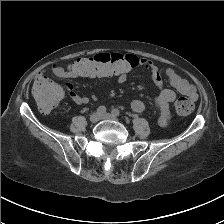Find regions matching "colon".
Here are the masks:
<instances>
[{
	"label": "colon",
	"instance_id": "1",
	"mask_svg": "<svg viewBox=\"0 0 224 224\" xmlns=\"http://www.w3.org/2000/svg\"><path fill=\"white\" fill-rule=\"evenodd\" d=\"M135 66L137 59L134 56L119 53H100L92 57H83L71 65L78 77L88 78L127 74ZM32 93L39 109L47 113L58 105L63 90L49 79H42L35 81ZM174 109L178 115L187 116L193 112L194 104L188 97H179L175 101Z\"/></svg>",
	"mask_w": 224,
	"mask_h": 224
}]
</instances>
